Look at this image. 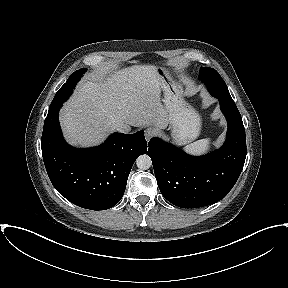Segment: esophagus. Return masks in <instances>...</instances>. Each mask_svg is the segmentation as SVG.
Returning a JSON list of instances; mask_svg holds the SVG:
<instances>
[{"instance_id":"obj_1","label":"esophagus","mask_w":288,"mask_h":288,"mask_svg":"<svg viewBox=\"0 0 288 288\" xmlns=\"http://www.w3.org/2000/svg\"><path fill=\"white\" fill-rule=\"evenodd\" d=\"M155 135V130L153 128H147L145 130V138L149 141Z\"/></svg>"}]
</instances>
